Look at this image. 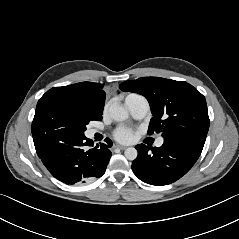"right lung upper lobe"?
<instances>
[{"label": "right lung upper lobe", "mask_w": 239, "mask_h": 239, "mask_svg": "<svg viewBox=\"0 0 239 239\" xmlns=\"http://www.w3.org/2000/svg\"><path fill=\"white\" fill-rule=\"evenodd\" d=\"M104 84L81 82L63 87H53L46 93H64L89 102L96 110L103 111L105 92Z\"/></svg>", "instance_id": "obj_1"}]
</instances>
